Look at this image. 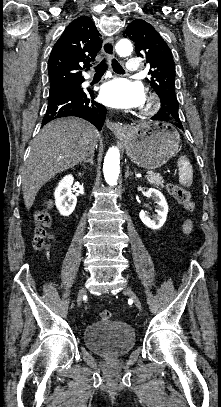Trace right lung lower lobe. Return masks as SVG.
Here are the masks:
<instances>
[{
  "mask_svg": "<svg viewBox=\"0 0 221 407\" xmlns=\"http://www.w3.org/2000/svg\"><path fill=\"white\" fill-rule=\"evenodd\" d=\"M84 80L49 92L48 106L42 126L51 120L76 116L83 118L101 130L106 116V108L94 101L91 90L80 86Z\"/></svg>",
  "mask_w": 221,
  "mask_h": 407,
  "instance_id": "right-lung-lower-lobe-1",
  "label": "right lung lower lobe"
}]
</instances>
